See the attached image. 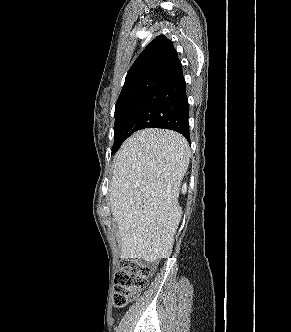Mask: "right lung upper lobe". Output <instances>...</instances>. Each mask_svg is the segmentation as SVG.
<instances>
[{
  "label": "right lung upper lobe",
  "instance_id": "cb5924a9",
  "mask_svg": "<svg viewBox=\"0 0 291 332\" xmlns=\"http://www.w3.org/2000/svg\"><path fill=\"white\" fill-rule=\"evenodd\" d=\"M181 72L182 65L172 41L160 35L147 45L129 69L118 100L151 92Z\"/></svg>",
  "mask_w": 291,
  "mask_h": 332
}]
</instances>
